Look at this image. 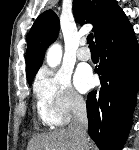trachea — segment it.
<instances>
[{
  "instance_id": "obj_1",
  "label": "trachea",
  "mask_w": 139,
  "mask_h": 150,
  "mask_svg": "<svg viewBox=\"0 0 139 150\" xmlns=\"http://www.w3.org/2000/svg\"><path fill=\"white\" fill-rule=\"evenodd\" d=\"M87 43L89 44V47L96 48L95 43L93 42V34H89L87 36Z\"/></svg>"
}]
</instances>
